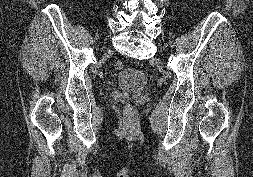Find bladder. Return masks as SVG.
I'll return each mask as SVG.
<instances>
[{"label":"bladder","instance_id":"obj_1","mask_svg":"<svg viewBox=\"0 0 253 177\" xmlns=\"http://www.w3.org/2000/svg\"><path fill=\"white\" fill-rule=\"evenodd\" d=\"M116 83L121 87L139 88L147 84V78L140 69L126 68L118 74Z\"/></svg>","mask_w":253,"mask_h":177}]
</instances>
